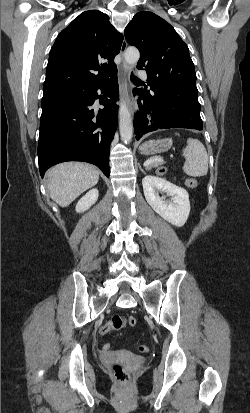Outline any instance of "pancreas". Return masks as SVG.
<instances>
[{
  "label": "pancreas",
  "mask_w": 250,
  "mask_h": 413,
  "mask_svg": "<svg viewBox=\"0 0 250 413\" xmlns=\"http://www.w3.org/2000/svg\"><path fill=\"white\" fill-rule=\"evenodd\" d=\"M159 164H160V162H152V163L148 166V169H151L152 167H157V166H159ZM161 174H163V173H161Z\"/></svg>",
  "instance_id": "obj_1"
}]
</instances>
